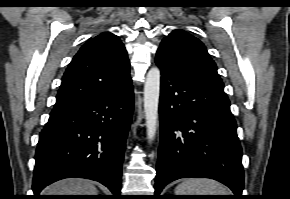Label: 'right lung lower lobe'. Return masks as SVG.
I'll list each match as a JSON object with an SVG mask.
<instances>
[{"instance_id": "98d812e1", "label": "right lung lower lobe", "mask_w": 290, "mask_h": 199, "mask_svg": "<svg viewBox=\"0 0 290 199\" xmlns=\"http://www.w3.org/2000/svg\"><path fill=\"white\" fill-rule=\"evenodd\" d=\"M133 104L130 82L108 95L54 108L39 136L33 199H42L39 193L44 187L69 177L98 181L119 199Z\"/></svg>"}]
</instances>
